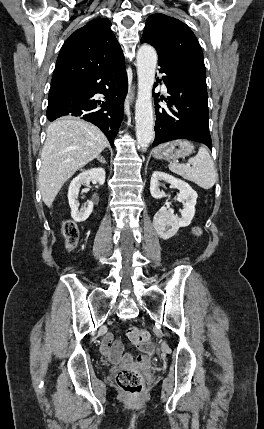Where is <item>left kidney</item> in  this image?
I'll use <instances>...</instances> for the list:
<instances>
[{"instance_id": "5707ae66", "label": "left kidney", "mask_w": 264, "mask_h": 429, "mask_svg": "<svg viewBox=\"0 0 264 429\" xmlns=\"http://www.w3.org/2000/svg\"><path fill=\"white\" fill-rule=\"evenodd\" d=\"M164 180L173 188L179 190L177 200L182 202L183 211L181 217L176 216L170 209L163 206L154 215L153 227L157 234L163 239L173 237L181 227L188 226L195 214V205L197 200V193L192 187L183 180L175 178L165 172L155 171L152 174L150 182V192L153 198L161 199L164 193L159 189V181Z\"/></svg>"}]
</instances>
